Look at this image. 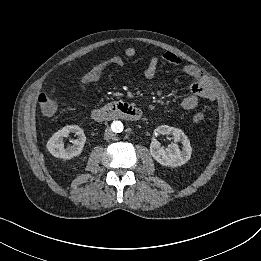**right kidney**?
<instances>
[{
  "instance_id": "obj_1",
  "label": "right kidney",
  "mask_w": 261,
  "mask_h": 261,
  "mask_svg": "<svg viewBox=\"0 0 261 261\" xmlns=\"http://www.w3.org/2000/svg\"><path fill=\"white\" fill-rule=\"evenodd\" d=\"M75 134L77 139L73 141V146L64 148L63 137ZM86 136L83 130L77 125H67L58 130L47 142V150L56 158L71 159L79 156L83 150Z\"/></svg>"
}]
</instances>
